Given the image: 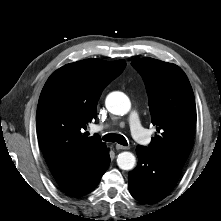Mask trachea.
Instances as JSON below:
<instances>
[{"instance_id": "1", "label": "trachea", "mask_w": 221, "mask_h": 221, "mask_svg": "<svg viewBox=\"0 0 221 221\" xmlns=\"http://www.w3.org/2000/svg\"><path fill=\"white\" fill-rule=\"evenodd\" d=\"M103 140L106 141V142H117V143H119L123 146L128 145L127 140L125 139V137L123 135H120V134H115V133L106 134L103 137Z\"/></svg>"}]
</instances>
